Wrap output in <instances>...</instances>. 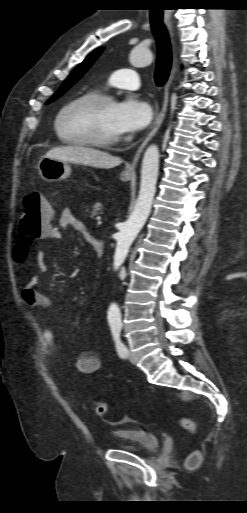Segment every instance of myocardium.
<instances>
[{
  "mask_svg": "<svg viewBox=\"0 0 247 513\" xmlns=\"http://www.w3.org/2000/svg\"><path fill=\"white\" fill-rule=\"evenodd\" d=\"M115 102L114 98L109 95H105L102 93H86L83 94L74 100L70 101L66 105H64L60 111L57 114V117L55 119V128L59 136L66 137L61 129V120L65 113L73 108L74 106L80 105V104H94V105H103L108 103ZM69 143L78 144V145H85V146H94V147H101V148H109L112 146L117 145L120 142V137L108 139V140H100V139H92V138H81V137H74L69 138L67 137Z\"/></svg>",
  "mask_w": 247,
  "mask_h": 513,
  "instance_id": "f54148a6",
  "label": "myocardium"
}]
</instances>
